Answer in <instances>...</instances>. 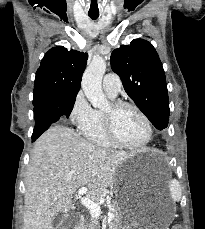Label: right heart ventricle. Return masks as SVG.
Here are the masks:
<instances>
[{"label":"right heart ventricle","mask_w":205,"mask_h":229,"mask_svg":"<svg viewBox=\"0 0 205 229\" xmlns=\"http://www.w3.org/2000/svg\"><path fill=\"white\" fill-rule=\"evenodd\" d=\"M109 96V95H108ZM111 99L115 97L109 96ZM83 136L91 143L102 146V147H111L112 143L108 140L105 129H104V120H103V111L94 110L93 120L85 128L81 129Z\"/></svg>","instance_id":"e07e8e85"}]
</instances>
